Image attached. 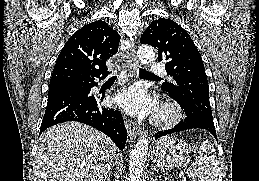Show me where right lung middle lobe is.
I'll use <instances>...</instances> for the list:
<instances>
[{
	"mask_svg": "<svg viewBox=\"0 0 259 181\" xmlns=\"http://www.w3.org/2000/svg\"><path fill=\"white\" fill-rule=\"evenodd\" d=\"M66 85L67 84L49 85L48 97L64 89Z\"/></svg>",
	"mask_w": 259,
	"mask_h": 181,
	"instance_id": "obj_1",
	"label": "right lung middle lobe"
}]
</instances>
